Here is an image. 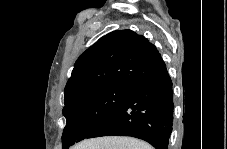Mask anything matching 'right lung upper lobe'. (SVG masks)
I'll use <instances>...</instances> for the list:
<instances>
[{
    "instance_id": "cb5924a9",
    "label": "right lung upper lobe",
    "mask_w": 227,
    "mask_h": 149,
    "mask_svg": "<svg viewBox=\"0 0 227 149\" xmlns=\"http://www.w3.org/2000/svg\"><path fill=\"white\" fill-rule=\"evenodd\" d=\"M164 67L157 48L147 38L131 30L113 31L100 38L76 61L64 89L65 107L103 86L133 87Z\"/></svg>"
}]
</instances>
